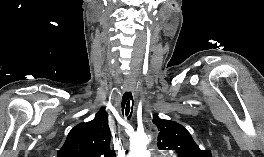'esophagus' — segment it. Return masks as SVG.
<instances>
[{
    "label": "esophagus",
    "instance_id": "esophagus-1",
    "mask_svg": "<svg viewBox=\"0 0 264 157\" xmlns=\"http://www.w3.org/2000/svg\"><path fill=\"white\" fill-rule=\"evenodd\" d=\"M130 89L128 87L125 88V91H129Z\"/></svg>",
    "mask_w": 264,
    "mask_h": 157
}]
</instances>
